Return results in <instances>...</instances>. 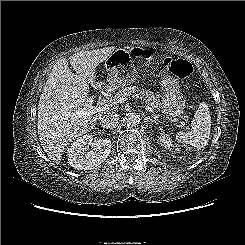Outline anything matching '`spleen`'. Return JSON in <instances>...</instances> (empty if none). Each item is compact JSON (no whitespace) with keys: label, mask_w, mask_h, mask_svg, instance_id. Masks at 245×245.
<instances>
[{"label":"spleen","mask_w":245,"mask_h":245,"mask_svg":"<svg viewBox=\"0 0 245 245\" xmlns=\"http://www.w3.org/2000/svg\"><path fill=\"white\" fill-rule=\"evenodd\" d=\"M211 132V116L208 104L202 102L191 122V129L188 132L180 131L176 134V140L201 150L207 146Z\"/></svg>","instance_id":"3e777b00"}]
</instances>
